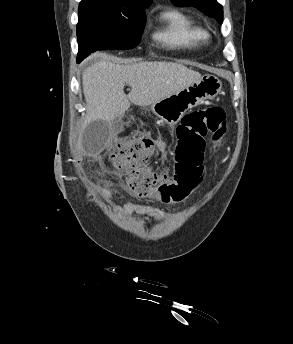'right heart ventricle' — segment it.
<instances>
[{
  "instance_id": "right-heart-ventricle-1",
  "label": "right heart ventricle",
  "mask_w": 293,
  "mask_h": 344,
  "mask_svg": "<svg viewBox=\"0 0 293 344\" xmlns=\"http://www.w3.org/2000/svg\"><path fill=\"white\" fill-rule=\"evenodd\" d=\"M160 28L153 37L158 42L174 49L192 50L208 39L207 31L189 14L169 9L160 14Z\"/></svg>"
}]
</instances>
